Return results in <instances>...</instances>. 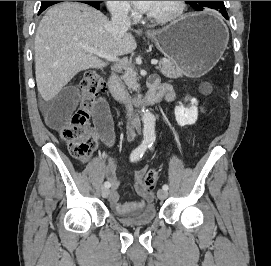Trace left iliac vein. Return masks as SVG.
Masks as SVG:
<instances>
[{"label":"left iliac vein","mask_w":271,"mask_h":266,"mask_svg":"<svg viewBox=\"0 0 271 266\" xmlns=\"http://www.w3.org/2000/svg\"><path fill=\"white\" fill-rule=\"evenodd\" d=\"M157 196L160 200H164L168 197V192L166 190L159 189L157 192Z\"/></svg>","instance_id":"1"}]
</instances>
